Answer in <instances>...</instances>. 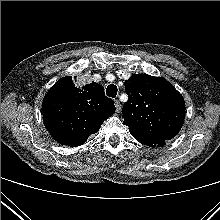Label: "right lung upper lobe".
<instances>
[{"label": "right lung upper lobe", "mask_w": 220, "mask_h": 220, "mask_svg": "<svg viewBox=\"0 0 220 220\" xmlns=\"http://www.w3.org/2000/svg\"><path fill=\"white\" fill-rule=\"evenodd\" d=\"M114 112L113 100L105 96L100 84L92 82L80 88L71 76L61 78L50 88L41 111L51 136L70 147L84 144Z\"/></svg>", "instance_id": "1"}]
</instances>
